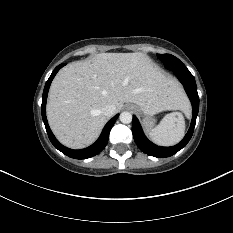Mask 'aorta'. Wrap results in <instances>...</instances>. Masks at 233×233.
I'll list each match as a JSON object with an SVG mask.
<instances>
[{
	"label": "aorta",
	"instance_id": "obj_1",
	"mask_svg": "<svg viewBox=\"0 0 233 233\" xmlns=\"http://www.w3.org/2000/svg\"><path fill=\"white\" fill-rule=\"evenodd\" d=\"M119 118L123 124H129L132 122V114L130 112H122Z\"/></svg>",
	"mask_w": 233,
	"mask_h": 233
}]
</instances>
